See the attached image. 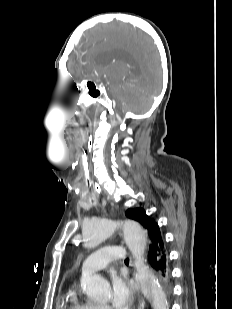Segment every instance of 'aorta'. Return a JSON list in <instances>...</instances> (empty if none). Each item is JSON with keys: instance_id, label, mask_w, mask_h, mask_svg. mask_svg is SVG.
I'll use <instances>...</instances> for the list:
<instances>
[{"instance_id": "1", "label": "aorta", "mask_w": 232, "mask_h": 309, "mask_svg": "<svg viewBox=\"0 0 232 309\" xmlns=\"http://www.w3.org/2000/svg\"><path fill=\"white\" fill-rule=\"evenodd\" d=\"M118 227L122 228L126 245L134 258L135 280L144 297L153 309H168L166 295L145 263L147 238L145 231L137 223L113 219L88 220L82 230L84 246L90 249L99 246ZM81 285L84 293L92 300L106 301L110 297L108 282L98 276L82 278Z\"/></svg>"}]
</instances>
